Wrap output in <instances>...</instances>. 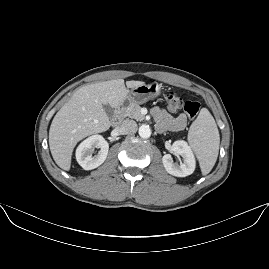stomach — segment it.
I'll return each instance as SVG.
<instances>
[{
	"label": "stomach",
	"mask_w": 269,
	"mask_h": 269,
	"mask_svg": "<svg viewBox=\"0 0 269 269\" xmlns=\"http://www.w3.org/2000/svg\"><path fill=\"white\" fill-rule=\"evenodd\" d=\"M162 85L154 82L152 84L146 85L142 84L136 86L130 90L125 102L128 104H143L150 99L157 97L161 92Z\"/></svg>",
	"instance_id": "obj_1"
}]
</instances>
